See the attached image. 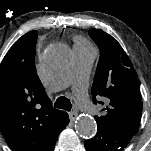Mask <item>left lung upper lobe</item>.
<instances>
[{"instance_id":"1","label":"left lung upper lobe","mask_w":151,"mask_h":151,"mask_svg":"<svg viewBox=\"0 0 151 151\" xmlns=\"http://www.w3.org/2000/svg\"><path fill=\"white\" fill-rule=\"evenodd\" d=\"M89 35L100 50L92 99L94 104L98 102L105 106L102 115L95 116L97 125L133 137L138 132L142 114L137 73L111 35L101 29H91Z\"/></svg>"}]
</instances>
